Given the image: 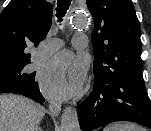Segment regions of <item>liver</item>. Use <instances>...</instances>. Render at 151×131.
I'll use <instances>...</instances> for the list:
<instances>
[{"label":"liver","instance_id":"1","mask_svg":"<svg viewBox=\"0 0 151 131\" xmlns=\"http://www.w3.org/2000/svg\"><path fill=\"white\" fill-rule=\"evenodd\" d=\"M45 108L15 94L0 95V131H39Z\"/></svg>","mask_w":151,"mask_h":131}]
</instances>
